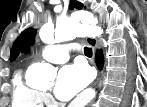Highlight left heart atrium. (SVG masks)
<instances>
[{"instance_id": "left-heart-atrium-1", "label": "left heart atrium", "mask_w": 147, "mask_h": 107, "mask_svg": "<svg viewBox=\"0 0 147 107\" xmlns=\"http://www.w3.org/2000/svg\"><path fill=\"white\" fill-rule=\"evenodd\" d=\"M91 80L89 69L83 64L64 66L57 78L54 93L60 100L67 101L79 93Z\"/></svg>"}]
</instances>
